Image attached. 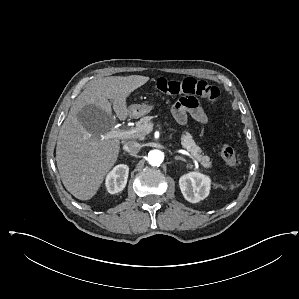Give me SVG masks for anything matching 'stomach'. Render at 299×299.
<instances>
[{
  "mask_svg": "<svg viewBox=\"0 0 299 299\" xmlns=\"http://www.w3.org/2000/svg\"><path fill=\"white\" fill-rule=\"evenodd\" d=\"M153 107V103L133 104L129 107V115L131 118H139L148 114L153 109Z\"/></svg>",
  "mask_w": 299,
  "mask_h": 299,
  "instance_id": "stomach-1",
  "label": "stomach"
}]
</instances>
